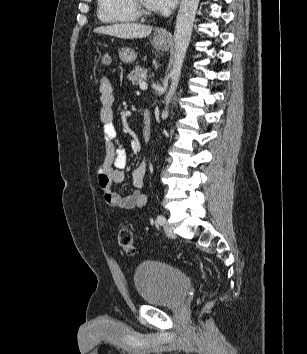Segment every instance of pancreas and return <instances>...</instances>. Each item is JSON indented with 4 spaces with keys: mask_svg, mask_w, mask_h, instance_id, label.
I'll return each instance as SVG.
<instances>
[{
    "mask_svg": "<svg viewBox=\"0 0 307 354\" xmlns=\"http://www.w3.org/2000/svg\"><path fill=\"white\" fill-rule=\"evenodd\" d=\"M147 70L141 66H135L134 69L128 74L127 78L132 82L133 85H138V83L146 79Z\"/></svg>",
    "mask_w": 307,
    "mask_h": 354,
    "instance_id": "obj_1",
    "label": "pancreas"
}]
</instances>
